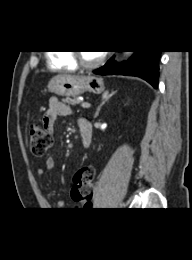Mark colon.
<instances>
[{
  "label": "colon",
  "instance_id": "colon-1",
  "mask_svg": "<svg viewBox=\"0 0 192 260\" xmlns=\"http://www.w3.org/2000/svg\"><path fill=\"white\" fill-rule=\"evenodd\" d=\"M30 150L36 157H42L51 146V134L39 123L29 126ZM95 169L92 166L81 167L74 175L72 198L78 203L88 204L94 193Z\"/></svg>",
  "mask_w": 192,
  "mask_h": 260
}]
</instances>
